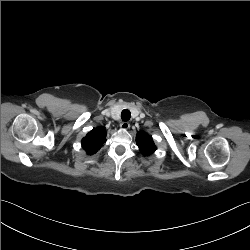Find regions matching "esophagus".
<instances>
[{"label": "esophagus", "instance_id": "1", "mask_svg": "<svg viewBox=\"0 0 250 250\" xmlns=\"http://www.w3.org/2000/svg\"><path fill=\"white\" fill-rule=\"evenodd\" d=\"M129 127H130V124L128 122L120 123V128L123 129V130L129 129Z\"/></svg>", "mask_w": 250, "mask_h": 250}]
</instances>
